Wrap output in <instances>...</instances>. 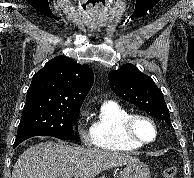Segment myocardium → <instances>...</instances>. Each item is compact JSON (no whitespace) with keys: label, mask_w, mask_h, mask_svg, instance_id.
<instances>
[{"label":"myocardium","mask_w":194,"mask_h":178,"mask_svg":"<svg viewBox=\"0 0 194 178\" xmlns=\"http://www.w3.org/2000/svg\"><path fill=\"white\" fill-rule=\"evenodd\" d=\"M139 120H143L146 121L147 123H149L153 130H154V137L153 139L149 140V141H145L142 140L141 138H139L134 130L135 124L137 121ZM122 133L124 135V137L130 141L133 142L139 146H145V145H149L153 142H155L158 138L159 132H158V127L157 124L155 122V120L153 118H151L148 115L145 114H140V113H136V114H130L122 123Z\"/></svg>","instance_id":"obj_1"}]
</instances>
